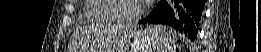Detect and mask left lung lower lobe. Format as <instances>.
I'll list each match as a JSON object with an SVG mask.
<instances>
[{"label": "left lung lower lobe", "mask_w": 261, "mask_h": 52, "mask_svg": "<svg viewBox=\"0 0 261 52\" xmlns=\"http://www.w3.org/2000/svg\"><path fill=\"white\" fill-rule=\"evenodd\" d=\"M205 0H161L140 24H163L178 30L186 38H197Z\"/></svg>", "instance_id": "0a47b994"}]
</instances>
